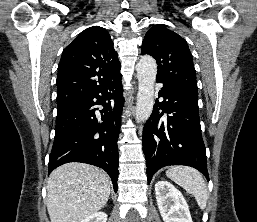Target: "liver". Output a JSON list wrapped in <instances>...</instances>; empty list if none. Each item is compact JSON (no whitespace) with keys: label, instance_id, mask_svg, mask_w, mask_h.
I'll return each mask as SVG.
<instances>
[{"label":"liver","instance_id":"obj_1","mask_svg":"<svg viewBox=\"0 0 257 222\" xmlns=\"http://www.w3.org/2000/svg\"><path fill=\"white\" fill-rule=\"evenodd\" d=\"M110 195L107 174L85 163H67L47 181L46 205L51 222H81L101 210Z\"/></svg>","mask_w":257,"mask_h":222}]
</instances>
